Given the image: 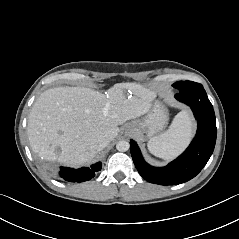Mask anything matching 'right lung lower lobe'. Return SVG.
Segmentation results:
<instances>
[{"mask_svg": "<svg viewBox=\"0 0 239 239\" xmlns=\"http://www.w3.org/2000/svg\"><path fill=\"white\" fill-rule=\"evenodd\" d=\"M101 166L102 164L98 162L96 164H93L90 168H61L60 176L63 177L66 181L83 182L93 178L95 176V172L99 171L101 169Z\"/></svg>", "mask_w": 239, "mask_h": 239, "instance_id": "1", "label": "right lung lower lobe"}]
</instances>
